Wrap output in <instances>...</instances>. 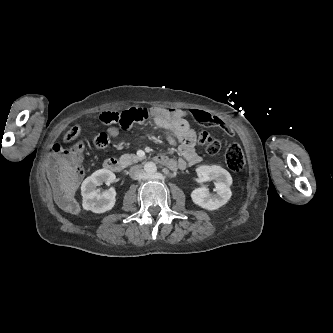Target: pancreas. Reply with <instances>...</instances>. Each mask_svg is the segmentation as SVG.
I'll list each match as a JSON object with an SVG mask.
<instances>
[{
    "mask_svg": "<svg viewBox=\"0 0 333 333\" xmlns=\"http://www.w3.org/2000/svg\"><path fill=\"white\" fill-rule=\"evenodd\" d=\"M120 160L123 164H125L126 166L131 165L133 163H137L139 161L142 160L141 157L135 155V154H123L120 157Z\"/></svg>",
    "mask_w": 333,
    "mask_h": 333,
    "instance_id": "pancreas-1",
    "label": "pancreas"
}]
</instances>
